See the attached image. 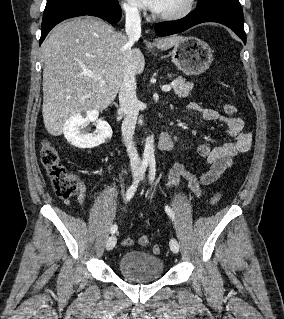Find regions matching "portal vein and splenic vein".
<instances>
[{
    "instance_id": "obj_1",
    "label": "portal vein and splenic vein",
    "mask_w": 284,
    "mask_h": 319,
    "mask_svg": "<svg viewBox=\"0 0 284 319\" xmlns=\"http://www.w3.org/2000/svg\"><path fill=\"white\" fill-rule=\"evenodd\" d=\"M91 77H95L94 75H90ZM100 81H99V83H100V85L101 86H103V85H105V83H106V81L105 80H103L101 77H97ZM173 85V84H172ZM172 85H164L163 87H162V91H164V92H169L170 90H171V88H172Z\"/></svg>"
}]
</instances>
